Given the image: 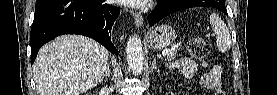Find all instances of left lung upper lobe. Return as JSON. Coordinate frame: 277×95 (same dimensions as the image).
Returning <instances> with one entry per match:
<instances>
[{
	"label": "left lung upper lobe",
	"instance_id": "5c2ea615",
	"mask_svg": "<svg viewBox=\"0 0 277 95\" xmlns=\"http://www.w3.org/2000/svg\"><path fill=\"white\" fill-rule=\"evenodd\" d=\"M200 6L221 8L225 6L224 0H201Z\"/></svg>",
	"mask_w": 277,
	"mask_h": 95
}]
</instances>
